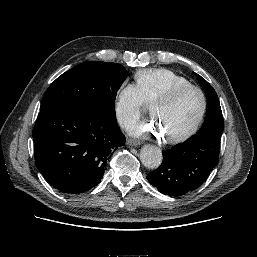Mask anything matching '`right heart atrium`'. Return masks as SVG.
Returning <instances> with one entry per match:
<instances>
[{"mask_svg": "<svg viewBox=\"0 0 257 257\" xmlns=\"http://www.w3.org/2000/svg\"><path fill=\"white\" fill-rule=\"evenodd\" d=\"M146 108V101L139 87L134 83L123 84L115 99V114L124 128L132 126Z\"/></svg>", "mask_w": 257, "mask_h": 257, "instance_id": "1", "label": "right heart atrium"}]
</instances>
